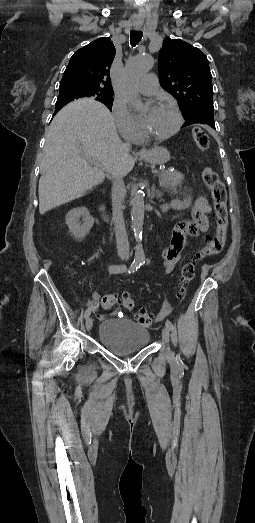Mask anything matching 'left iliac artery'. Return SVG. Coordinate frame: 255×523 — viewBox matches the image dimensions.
<instances>
[{"label":"left iliac artery","mask_w":255,"mask_h":523,"mask_svg":"<svg viewBox=\"0 0 255 523\" xmlns=\"http://www.w3.org/2000/svg\"><path fill=\"white\" fill-rule=\"evenodd\" d=\"M142 263H144V262H142ZM165 325H166V326H167L171 331L174 330V326H173V324H172V322H171L170 320H166ZM176 360H177V361L180 360V356H179V355L176 356Z\"/></svg>","instance_id":"obj_1"}]
</instances>
